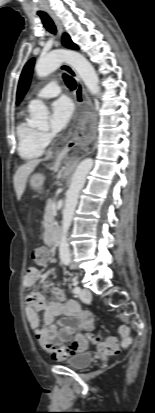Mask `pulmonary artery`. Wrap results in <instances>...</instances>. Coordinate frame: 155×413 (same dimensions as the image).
Returning <instances> with one entry per match:
<instances>
[{"instance_id":"pulmonary-artery-1","label":"pulmonary artery","mask_w":155,"mask_h":413,"mask_svg":"<svg viewBox=\"0 0 155 413\" xmlns=\"http://www.w3.org/2000/svg\"><path fill=\"white\" fill-rule=\"evenodd\" d=\"M60 92L61 87L59 85V80L52 79L37 91L36 96L40 99H48L58 96Z\"/></svg>"}]
</instances>
